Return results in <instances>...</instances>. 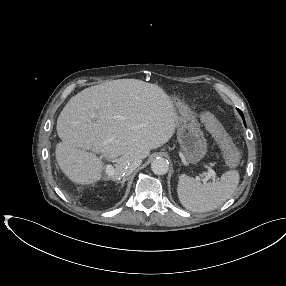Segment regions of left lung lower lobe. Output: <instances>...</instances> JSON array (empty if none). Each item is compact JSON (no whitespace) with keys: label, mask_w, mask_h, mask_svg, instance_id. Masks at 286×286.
Instances as JSON below:
<instances>
[{"label":"left lung lower lobe","mask_w":286,"mask_h":286,"mask_svg":"<svg viewBox=\"0 0 286 286\" xmlns=\"http://www.w3.org/2000/svg\"><path fill=\"white\" fill-rule=\"evenodd\" d=\"M237 110H238L239 114L242 116L243 121H244V124H245V126H246V123H245L244 116H243L242 112H241L239 109H237Z\"/></svg>","instance_id":"1"}]
</instances>
